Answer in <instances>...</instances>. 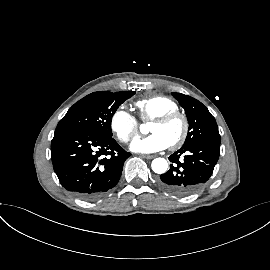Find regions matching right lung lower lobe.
<instances>
[{
  "instance_id": "right-lung-lower-lobe-1",
  "label": "right lung lower lobe",
  "mask_w": 270,
  "mask_h": 270,
  "mask_svg": "<svg viewBox=\"0 0 270 270\" xmlns=\"http://www.w3.org/2000/svg\"><path fill=\"white\" fill-rule=\"evenodd\" d=\"M130 155L113 138L80 129L55 130L51 142L53 168L61 185L85 200L116 186Z\"/></svg>"
}]
</instances>
